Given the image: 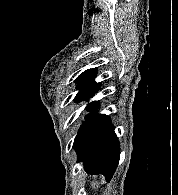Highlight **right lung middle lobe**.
I'll return each instance as SVG.
<instances>
[{
	"label": "right lung middle lobe",
	"mask_w": 178,
	"mask_h": 195,
	"mask_svg": "<svg viewBox=\"0 0 178 195\" xmlns=\"http://www.w3.org/2000/svg\"><path fill=\"white\" fill-rule=\"evenodd\" d=\"M91 96H76L75 97V99H74V101L75 102H81V101H89L88 100V98H90ZM95 102H91V103H88V105H87V111H90V109L92 108V106H93V104H94Z\"/></svg>",
	"instance_id": "1"
}]
</instances>
